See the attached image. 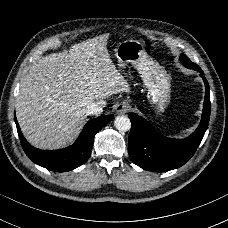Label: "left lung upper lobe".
Returning a JSON list of instances; mask_svg holds the SVG:
<instances>
[{"label":"left lung upper lobe","mask_w":228,"mask_h":228,"mask_svg":"<svg viewBox=\"0 0 228 228\" xmlns=\"http://www.w3.org/2000/svg\"><path fill=\"white\" fill-rule=\"evenodd\" d=\"M180 61L186 68L194 69L199 72L202 71L201 68L197 64L191 62L190 59L185 55L180 56Z\"/></svg>","instance_id":"left-lung-upper-lobe-1"}]
</instances>
